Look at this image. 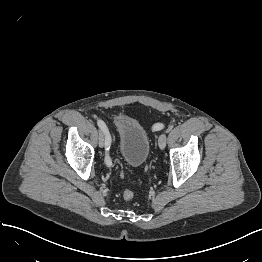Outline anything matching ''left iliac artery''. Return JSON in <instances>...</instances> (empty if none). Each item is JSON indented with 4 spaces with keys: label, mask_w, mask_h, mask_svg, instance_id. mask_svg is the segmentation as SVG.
I'll return each instance as SVG.
<instances>
[{
    "label": "left iliac artery",
    "mask_w": 262,
    "mask_h": 262,
    "mask_svg": "<svg viewBox=\"0 0 262 262\" xmlns=\"http://www.w3.org/2000/svg\"><path fill=\"white\" fill-rule=\"evenodd\" d=\"M163 128H164V125H163V124L158 123V124H155V125H154V129H156V130H161V129H163Z\"/></svg>",
    "instance_id": "left-iliac-artery-1"
}]
</instances>
